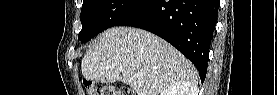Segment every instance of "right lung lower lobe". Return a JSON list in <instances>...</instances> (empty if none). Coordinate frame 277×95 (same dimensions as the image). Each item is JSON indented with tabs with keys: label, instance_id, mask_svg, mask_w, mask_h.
Masks as SVG:
<instances>
[{
	"label": "right lung lower lobe",
	"instance_id": "98d812e1",
	"mask_svg": "<svg viewBox=\"0 0 277 95\" xmlns=\"http://www.w3.org/2000/svg\"><path fill=\"white\" fill-rule=\"evenodd\" d=\"M218 7V0H143L116 26L141 28L165 39L192 61L203 82Z\"/></svg>",
	"mask_w": 277,
	"mask_h": 95
}]
</instances>
